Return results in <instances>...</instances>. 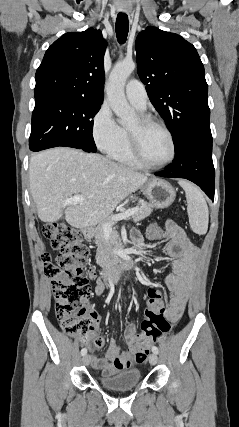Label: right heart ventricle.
Returning a JSON list of instances; mask_svg holds the SVG:
<instances>
[{"label":"right heart ventricle","mask_w":239,"mask_h":427,"mask_svg":"<svg viewBox=\"0 0 239 427\" xmlns=\"http://www.w3.org/2000/svg\"><path fill=\"white\" fill-rule=\"evenodd\" d=\"M108 155L110 156L111 159L121 164H125V165L136 167V168L141 166L133 158L131 154L129 143H128L127 131L125 129H123V140L121 144Z\"/></svg>","instance_id":"e07e8e85"}]
</instances>
